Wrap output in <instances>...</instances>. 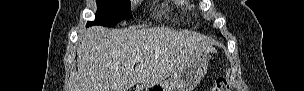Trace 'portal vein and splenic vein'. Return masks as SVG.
Instances as JSON below:
<instances>
[{
  "label": "portal vein and splenic vein",
  "mask_w": 304,
  "mask_h": 91,
  "mask_svg": "<svg viewBox=\"0 0 304 91\" xmlns=\"http://www.w3.org/2000/svg\"><path fill=\"white\" fill-rule=\"evenodd\" d=\"M141 60H142L141 57H138V56L133 58L134 62H140Z\"/></svg>",
  "instance_id": "1"
}]
</instances>
